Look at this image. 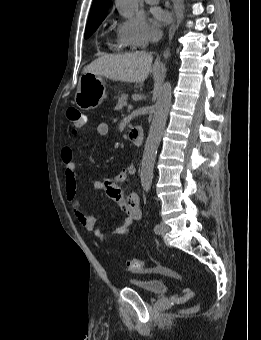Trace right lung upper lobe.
<instances>
[{"mask_svg": "<svg viewBox=\"0 0 261 340\" xmlns=\"http://www.w3.org/2000/svg\"><path fill=\"white\" fill-rule=\"evenodd\" d=\"M108 3L109 0H94L91 7L88 23L105 18L108 11Z\"/></svg>", "mask_w": 261, "mask_h": 340, "instance_id": "obj_1", "label": "right lung upper lobe"}]
</instances>
